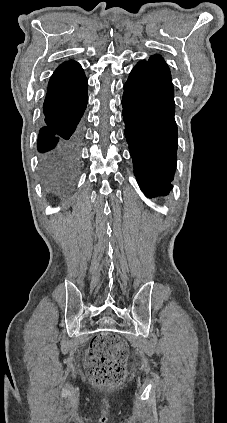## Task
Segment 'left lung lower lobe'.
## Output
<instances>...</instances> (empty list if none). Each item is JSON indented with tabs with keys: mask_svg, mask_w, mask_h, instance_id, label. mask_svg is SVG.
Segmentation results:
<instances>
[{
	"mask_svg": "<svg viewBox=\"0 0 227 423\" xmlns=\"http://www.w3.org/2000/svg\"><path fill=\"white\" fill-rule=\"evenodd\" d=\"M134 174L147 197L167 194L174 178L177 125L174 98L155 78L131 72L122 99Z\"/></svg>",
	"mask_w": 227,
	"mask_h": 423,
	"instance_id": "1",
	"label": "left lung lower lobe"
}]
</instances>
